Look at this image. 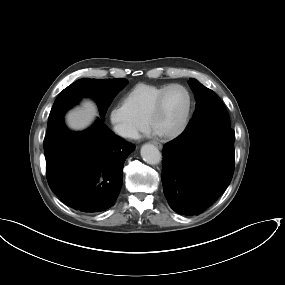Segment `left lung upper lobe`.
<instances>
[{
  "label": "left lung upper lobe",
  "mask_w": 285,
  "mask_h": 285,
  "mask_svg": "<svg viewBox=\"0 0 285 285\" xmlns=\"http://www.w3.org/2000/svg\"><path fill=\"white\" fill-rule=\"evenodd\" d=\"M188 83L195 93L197 102L192 119L186 129L205 123L230 126L227 110L220 98L195 79H190Z\"/></svg>",
  "instance_id": "1"
}]
</instances>
